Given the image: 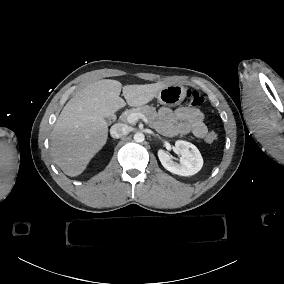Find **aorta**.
I'll return each mask as SVG.
<instances>
[{"instance_id":"aorta-1","label":"aorta","mask_w":284,"mask_h":284,"mask_svg":"<svg viewBox=\"0 0 284 284\" xmlns=\"http://www.w3.org/2000/svg\"><path fill=\"white\" fill-rule=\"evenodd\" d=\"M133 138H134V141H135V142H137V143H141V142H143V141H144L145 136H144V134H143V133H141V132H137V133H135V134H134Z\"/></svg>"}]
</instances>
